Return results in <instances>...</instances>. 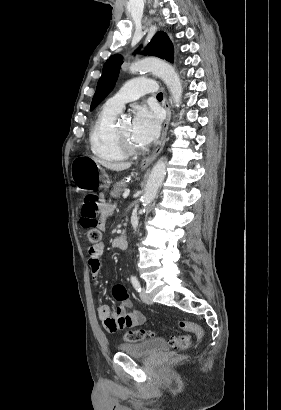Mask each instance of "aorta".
<instances>
[{
    "instance_id": "obj_1",
    "label": "aorta",
    "mask_w": 281,
    "mask_h": 410,
    "mask_svg": "<svg viewBox=\"0 0 281 410\" xmlns=\"http://www.w3.org/2000/svg\"><path fill=\"white\" fill-rule=\"evenodd\" d=\"M141 71H151L160 77L168 87L175 106L179 107L182 97L181 81L178 74L170 64L159 59L151 58L142 59L131 64V73L134 74ZM166 165V158H161L156 162L151 171L142 197L143 212H145L147 206L155 199L157 195L158 189L160 188L166 175Z\"/></svg>"
}]
</instances>
